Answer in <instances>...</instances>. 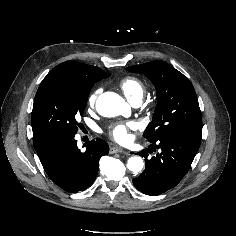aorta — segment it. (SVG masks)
<instances>
[{
	"instance_id": "1",
	"label": "aorta",
	"mask_w": 236,
	"mask_h": 236,
	"mask_svg": "<svg viewBox=\"0 0 236 236\" xmlns=\"http://www.w3.org/2000/svg\"><path fill=\"white\" fill-rule=\"evenodd\" d=\"M96 109L104 117H115L124 113L128 109V104L120 95L105 92L98 97ZM143 166L144 163L140 156H132L128 159L127 167L133 173L140 172Z\"/></svg>"
}]
</instances>
